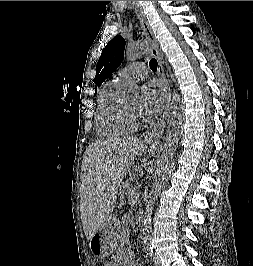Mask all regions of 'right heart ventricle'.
I'll return each mask as SVG.
<instances>
[{"label": "right heart ventricle", "mask_w": 253, "mask_h": 266, "mask_svg": "<svg viewBox=\"0 0 253 266\" xmlns=\"http://www.w3.org/2000/svg\"><path fill=\"white\" fill-rule=\"evenodd\" d=\"M125 87L126 85L113 78L104 85L99 93L95 124L97 133L102 138H117L132 130L122 120L119 113Z\"/></svg>", "instance_id": "1"}]
</instances>
